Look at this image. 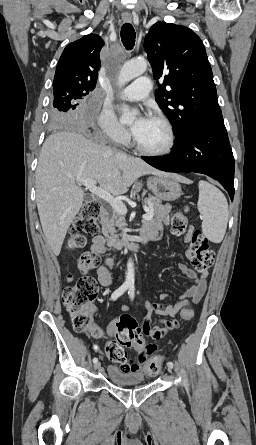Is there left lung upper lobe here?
Masks as SVG:
<instances>
[{
    "instance_id": "5c2ea615",
    "label": "left lung upper lobe",
    "mask_w": 256,
    "mask_h": 445,
    "mask_svg": "<svg viewBox=\"0 0 256 445\" xmlns=\"http://www.w3.org/2000/svg\"><path fill=\"white\" fill-rule=\"evenodd\" d=\"M155 79L159 107L173 124L176 138L197 124H224L206 50L191 29L155 23L144 40Z\"/></svg>"
}]
</instances>
